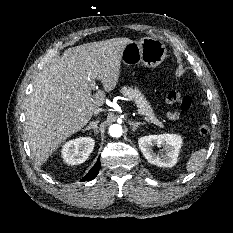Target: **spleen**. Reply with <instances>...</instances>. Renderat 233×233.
<instances>
[{"label":"spleen","instance_id":"spleen-1","mask_svg":"<svg viewBox=\"0 0 233 233\" xmlns=\"http://www.w3.org/2000/svg\"><path fill=\"white\" fill-rule=\"evenodd\" d=\"M206 154H207L206 148H201L195 151L187 162L186 170L188 172L196 171L199 168V166L202 164V162L205 160Z\"/></svg>","mask_w":233,"mask_h":233}]
</instances>
